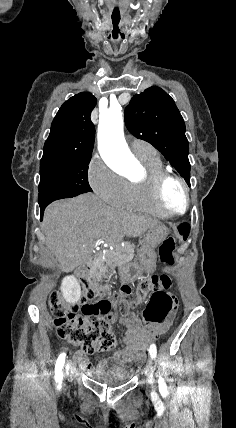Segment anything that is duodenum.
Here are the masks:
<instances>
[{
  "label": "duodenum",
  "mask_w": 236,
  "mask_h": 428,
  "mask_svg": "<svg viewBox=\"0 0 236 428\" xmlns=\"http://www.w3.org/2000/svg\"><path fill=\"white\" fill-rule=\"evenodd\" d=\"M93 265V260L92 259H88L86 261H84L79 269H78V275L81 279L87 280V281H91V268Z\"/></svg>",
  "instance_id": "410a0bca"
}]
</instances>
